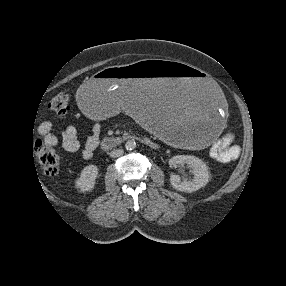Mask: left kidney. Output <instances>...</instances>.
<instances>
[{
	"label": "left kidney",
	"instance_id": "left-kidney-1",
	"mask_svg": "<svg viewBox=\"0 0 286 286\" xmlns=\"http://www.w3.org/2000/svg\"><path fill=\"white\" fill-rule=\"evenodd\" d=\"M186 164L193 178L181 180L179 175L171 174L170 182L173 188L182 192H194L204 187L209 181V173L206 164L199 158L190 155H177L169 159L171 167H177Z\"/></svg>",
	"mask_w": 286,
	"mask_h": 286
}]
</instances>
